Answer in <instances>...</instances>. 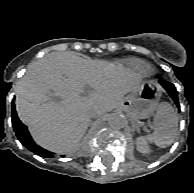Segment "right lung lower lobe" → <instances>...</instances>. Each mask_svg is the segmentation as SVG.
Here are the masks:
<instances>
[{"label":"right lung lower lobe","mask_w":194,"mask_h":193,"mask_svg":"<svg viewBox=\"0 0 194 193\" xmlns=\"http://www.w3.org/2000/svg\"><path fill=\"white\" fill-rule=\"evenodd\" d=\"M12 125H13L14 131L19 141L22 143L23 146H25L30 151H32L33 153L41 157H51L52 156L51 152L39 147L38 145L34 143L26 126L22 124V122L19 120L16 114L14 101H12Z\"/></svg>","instance_id":"right-lung-lower-lobe-1"}]
</instances>
